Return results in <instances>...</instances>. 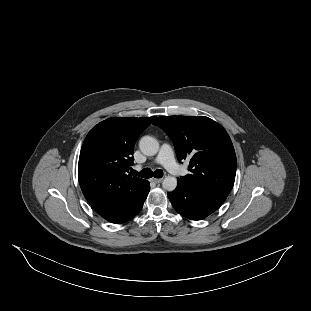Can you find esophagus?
Instances as JSON below:
<instances>
[{"mask_svg":"<svg viewBox=\"0 0 311 311\" xmlns=\"http://www.w3.org/2000/svg\"><path fill=\"white\" fill-rule=\"evenodd\" d=\"M154 183H161L163 178H152L151 179Z\"/></svg>","mask_w":311,"mask_h":311,"instance_id":"obj_1","label":"esophagus"}]
</instances>
